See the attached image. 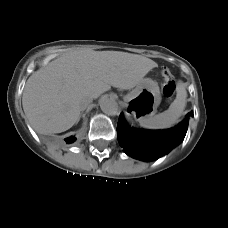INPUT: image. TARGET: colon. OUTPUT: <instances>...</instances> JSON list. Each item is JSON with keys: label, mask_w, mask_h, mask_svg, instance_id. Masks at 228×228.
I'll use <instances>...</instances> for the list:
<instances>
[{"label": "colon", "mask_w": 228, "mask_h": 228, "mask_svg": "<svg viewBox=\"0 0 228 228\" xmlns=\"http://www.w3.org/2000/svg\"><path fill=\"white\" fill-rule=\"evenodd\" d=\"M161 74L164 81V86H163L164 95L167 98H171L176 91V83L174 81L173 75L168 68H163L161 71Z\"/></svg>", "instance_id": "1"}]
</instances>
